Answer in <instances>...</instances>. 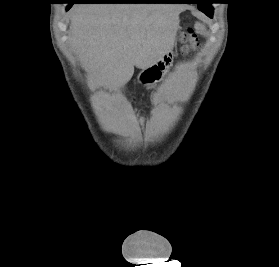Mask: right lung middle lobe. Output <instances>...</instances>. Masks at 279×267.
<instances>
[{
	"mask_svg": "<svg viewBox=\"0 0 279 267\" xmlns=\"http://www.w3.org/2000/svg\"><path fill=\"white\" fill-rule=\"evenodd\" d=\"M70 0H68L67 2H69ZM120 1H124V2H133V1H137V0H120Z\"/></svg>",
	"mask_w": 279,
	"mask_h": 267,
	"instance_id": "1",
	"label": "right lung middle lobe"
}]
</instances>
